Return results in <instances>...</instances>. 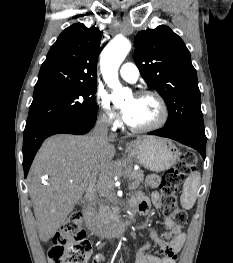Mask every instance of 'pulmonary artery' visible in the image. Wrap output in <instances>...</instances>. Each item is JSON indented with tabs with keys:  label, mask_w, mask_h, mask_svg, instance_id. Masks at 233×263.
Here are the masks:
<instances>
[{
	"label": "pulmonary artery",
	"mask_w": 233,
	"mask_h": 263,
	"mask_svg": "<svg viewBox=\"0 0 233 263\" xmlns=\"http://www.w3.org/2000/svg\"><path fill=\"white\" fill-rule=\"evenodd\" d=\"M121 77L130 83H134L139 78V70L133 63H124L120 68Z\"/></svg>",
	"instance_id": "e3ab8cb5"
}]
</instances>
